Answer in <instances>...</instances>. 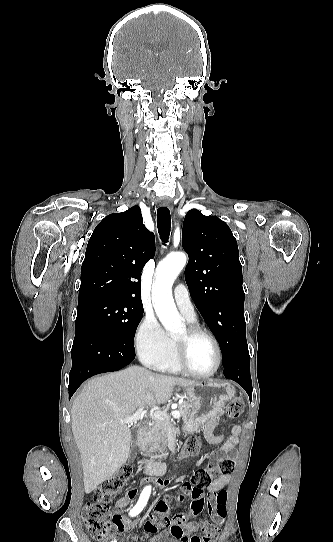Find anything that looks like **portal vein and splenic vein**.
Masks as SVG:
<instances>
[{"instance_id":"1","label":"portal vein and splenic vein","mask_w":333,"mask_h":542,"mask_svg":"<svg viewBox=\"0 0 333 542\" xmlns=\"http://www.w3.org/2000/svg\"><path fill=\"white\" fill-rule=\"evenodd\" d=\"M145 414L146 410H144V408H138L135 414L128 416V418H124V420H120V422H123V424H137L139 420H143ZM171 416H173V418H181L180 412H176V410L171 412ZM152 418H154V420H164V418H168V414H166V412H158V410H155L152 414Z\"/></svg>"}]
</instances>
